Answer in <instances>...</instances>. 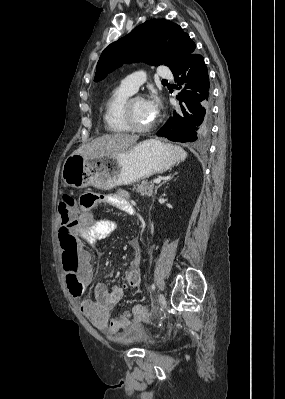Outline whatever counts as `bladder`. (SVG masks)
<instances>
[{
	"mask_svg": "<svg viewBox=\"0 0 285 399\" xmlns=\"http://www.w3.org/2000/svg\"><path fill=\"white\" fill-rule=\"evenodd\" d=\"M124 341L128 344H140L144 347H151L155 340L144 330L134 327L128 331Z\"/></svg>",
	"mask_w": 285,
	"mask_h": 399,
	"instance_id": "1",
	"label": "bladder"
}]
</instances>
